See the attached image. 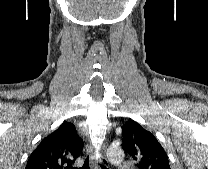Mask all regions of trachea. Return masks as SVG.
Returning <instances> with one entry per match:
<instances>
[{
	"label": "trachea",
	"instance_id": "obj_1",
	"mask_svg": "<svg viewBox=\"0 0 208 169\" xmlns=\"http://www.w3.org/2000/svg\"><path fill=\"white\" fill-rule=\"evenodd\" d=\"M89 164H90L89 157H87V159L85 160L84 165L82 167H80V168L75 167L74 169H90ZM101 167H102V169H107L106 167H104L102 165H101Z\"/></svg>",
	"mask_w": 208,
	"mask_h": 169
}]
</instances>
